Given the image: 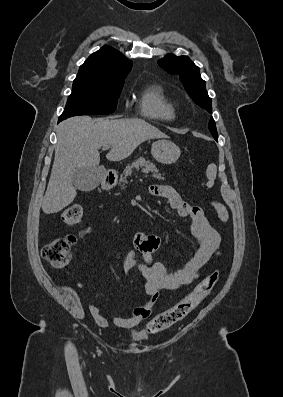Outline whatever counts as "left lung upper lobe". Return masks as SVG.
Masks as SVG:
<instances>
[{
    "label": "left lung upper lobe",
    "mask_w": 283,
    "mask_h": 397,
    "mask_svg": "<svg viewBox=\"0 0 283 397\" xmlns=\"http://www.w3.org/2000/svg\"><path fill=\"white\" fill-rule=\"evenodd\" d=\"M160 67L170 74H177L180 77L187 93L193 101L212 112L211 98L206 91V83L201 79L200 69L187 56L166 55L158 61ZM209 130L214 138H218L217 129L213 118L209 121Z\"/></svg>",
    "instance_id": "1"
}]
</instances>
